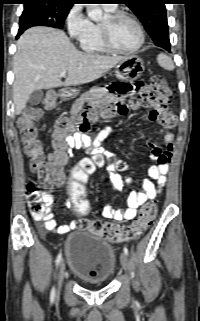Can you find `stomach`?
<instances>
[{
	"mask_svg": "<svg viewBox=\"0 0 200 321\" xmlns=\"http://www.w3.org/2000/svg\"><path fill=\"white\" fill-rule=\"evenodd\" d=\"M144 72L143 60L135 55L124 57L115 67L116 78L122 81H131L138 79ZM79 90L76 88H67L62 96L65 98H75Z\"/></svg>",
	"mask_w": 200,
	"mask_h": 321,
	"instance_id": "1",
	"label": "stomach"
}]
</instances>
